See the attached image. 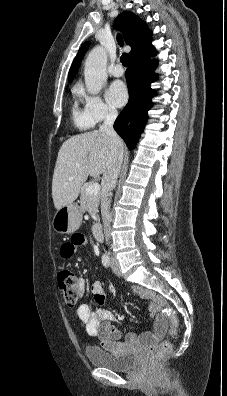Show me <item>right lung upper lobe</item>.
Instances as JSON below:
<instances>
[{
    "label": "right lung upper lobe",
    "mask_w": 227,
    "mask_h": 396,
    "mask_svg": "<svg viewBox=\"0 0 227 396\" xmlns=\"http://www.w3.org/2000/svg\"><path fill=\"white\" fill-rule=\"evenodd\" d=\"M114 26L122 30L126 43L131 46L132 49L129 52L130 58L151 44L152 32L146 28V24L141 21L138 16L129 11H124L122 14L118 15L115 19ZM88 46L89 43L85 42L78 51L69 71V82H72L75 74L77 73Z\"/></svg>",
    "instance_id": "obj_1"
}]
</instances>
